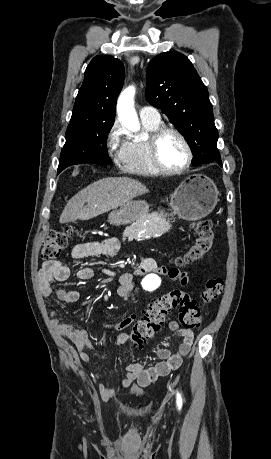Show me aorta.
<instances>
[{"instance_id": "aorta-1", "label": "aorta", "mask_w": 271, "mask_h": 459, "mask_svg": "<svg viewBox=\"0 0 271 459\" xmlns=\"http://www.w3.org/2000/svg\"><path fill=\"white\" fill-rule=\"evenodd\" d=\"M135 94L134 87L125 89L117 103V112L119 119L130 130H137L139 128V121L137 114L133 108V98ZM161 283V279L154 273L146 275L141 284L145 290L152 291L156 289Z\"/></svg>"}]
</instances>
